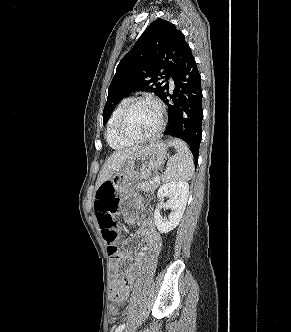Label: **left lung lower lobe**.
Listing matches in <instances>:
<instances>
[{"mask_svg":"<svg viewBox=\"0 0 291 332\" xmlns=\"http://www.w3.org/2000/svg\"><path fill=\"white\" fill-rule=\"evenodd\" d=\"M172 79L175 90L170 93L168 85L161 98L169 109L168 125L163 134L185 141L197 161L199 149H195L199 147L202 137V89L200 73L189 45L186 46Z\"/></svg>","mask_w":291,"mask_h":332,"instance_id":"left-lung-lower-lobe-1","label":"left lung lower lobe"}]
</instances>
